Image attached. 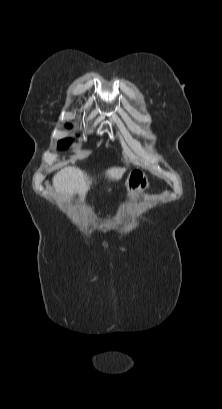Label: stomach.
<instances>
[{"mask_svg":"<svg viewBox=\"0 0 222 409\" xmlns=\"http://www.w3.org/2000/svg\"><path fill=\"white\" fill-rule=\"evenodd\" d=\"M130 201L137 200L149 187L147 175L140 169H133L125 181Z\"/></svg>","mask_w":222,"mask_h":409,"instance_id":"stomach-1","label":"stomach"}]
</instances>
